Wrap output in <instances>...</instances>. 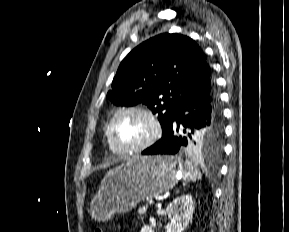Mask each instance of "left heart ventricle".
Returning a JSON list of instances; mask_svg holds the SVG:
<instances>
[{
    "mask_svg": "<svg viewBox=\"0 0 289 232\" xmlns=\"http://www.w3.org/2000/svg\"><path fill=\"white\" fill-rule=\"evenodd\" d=\"M151 131L148 120L141 114L130 112L120 115L114 125V137L122 146H135L147 139Z\"/></svg>",
    "mask_w": 289,
    "mask_h": 232,
    "instance_id": "left-heart-ventricle-1",
    "label": "left heart ventricle"
}]
</instances>
